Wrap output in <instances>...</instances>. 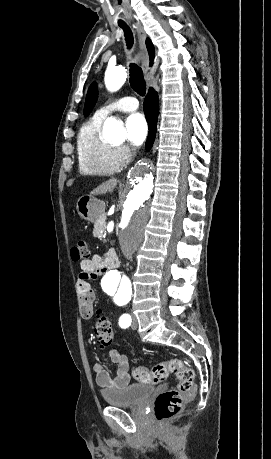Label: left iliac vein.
I'll return each mask as SVG.
<instances>
[{"label":"left iliac vein","instance_id":"obj_1","mask_svg":"<svg viewBox=\"0 0 271 459\" xmlns=\"http://www.w3.org/2000/svg\"><path fill=\"white\" fill-rule=\"evenodd\" d=\"M132 316V324H131V327L133 329H137L138 328V325H137V320H136V316L134 314L131 315Z\"/></svg>","mask_w":271,"mask_h":459}]
</instances>
